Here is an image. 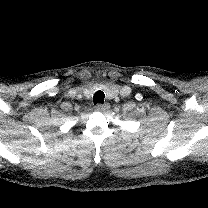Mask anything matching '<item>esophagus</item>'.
Segmentation results:
<instances>
[{
	"label": "esophagus",
	"mask_w": 208,
	"mask_h": 208,
	"mask_svg": "<svg viewBox=\"0 0 208 208\" xmlns=\"http://www.w3.org/2000/svg\"><path fill=\"white\" fill-rule=\"evenodd\" d=\"M110 108V104L109 103H103V104H97L95 107L96 111H105L108 110Z\"/></svg>",
	"instance_id": "obj_1"
}]
</instances>
